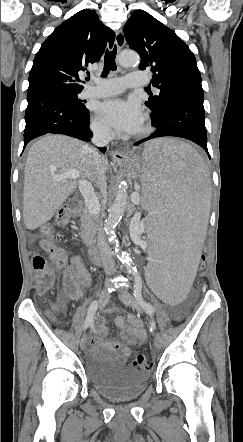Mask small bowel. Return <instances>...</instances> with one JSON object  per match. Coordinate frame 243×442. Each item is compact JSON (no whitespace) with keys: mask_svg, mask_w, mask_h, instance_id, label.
Wrapping results in <instances>:
<instances>
[{"mask_svg":"<svg viewBox=\"0 0 243 442\" xmlns=\"http://www.w3.org/2000/svg\"><path fill=\"white\" fill-rule=\"evenodd\" d=\"M62 284L60 300L63 304L68 300H81L83 298L82 287L90 284V274L80 256H72L70 265L63 275ZM115 325L127 333L129 343L132 345L141 344L146 339L147 335L143 328V322L134 314H129L127 317L118 316L115 319ZM106 335V322L101 319L97 325V336L91 342L118 353L120 360L124 361L130 354L129 347L117 340L106 339Z\"/></svg>","mask_w":243,"mask_h":442,"instance_id":"small-bowel-1","label":"small bowel"}]
</instances>
